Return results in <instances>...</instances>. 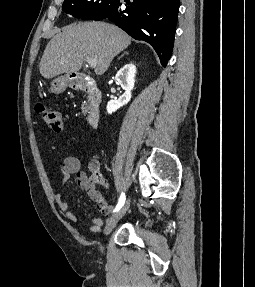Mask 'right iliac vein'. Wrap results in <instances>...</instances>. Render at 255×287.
Wrapping results in <instances>:
<instances>
[{
    "label": "right iliac vein",
    "mask_w": 255,
    "mask_h": 287,
    "mask_svg": "<svg viewBox=\"0 0 255 287\" xmlns=\"http://www.w3.org/2000/svg\"><path fill=\"white\" fill-rule=\"evenodd\" d=\"M128 208H129V200L125 203V205L119 211H117L113 216H111L108 219L105 225V228H104V234L106 235L110 234V232L114 229L118 221L124 216Z\"/></svg>",
    "instance_id": "obj_1"
}]
</instances>
